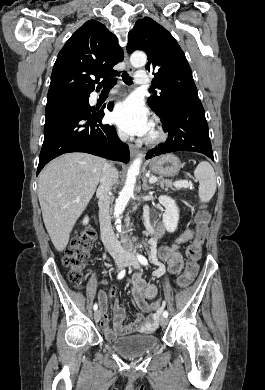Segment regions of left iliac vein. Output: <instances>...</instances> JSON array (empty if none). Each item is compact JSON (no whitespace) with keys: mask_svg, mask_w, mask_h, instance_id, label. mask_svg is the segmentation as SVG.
I'll list each match as a JSON object with an SVG mask.
<instances>
[{"mask_svg":"<svg viewBox=\"0 0 265 390\" xmlns=\"http://www.w3.org/2000/svg\"><path fill=\"white\" fill-rule=\"evenodd\" d=\"M124 258H125V265L126 266L133 267V268H139L140 267V264H139L136 256L133 253L126 252ZM167 323H168L167 317L163 316V317L160 318V325L161 326H166Z\"/></svg>","mask_w":265,"mask_h":390,"instance_id":"1","label":"left iliac vein"}]
</instances>
